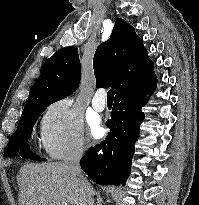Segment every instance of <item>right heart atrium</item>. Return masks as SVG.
I'll use <instances>...</instances> for the list:
<instances>
[{
    "mask_svg": "<svg viewBox=\"0 0 199 205\" xmlns=\"http://www.w3.org/2000/svg\"><path fill=\"white\" fill-rule=\"evenodd\" d=\"M40 140L46 154L53 159L83 153V121L71 100L59 99L48 105L40 121Z\"/></svg>",
    "mask_w": 199,
    "mask_h": 205,
    "instance_id": "right-heart-atrium-1",
    "label": "right heart atrium"
}]
</instances>
